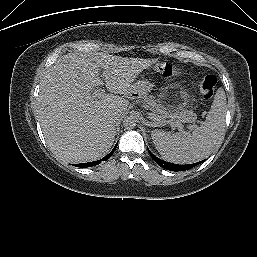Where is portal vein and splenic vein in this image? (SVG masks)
I'll use <instances>...</instances> for the list:
<instances>
[{"label": "portal vein and splenic vein", "mask_w": 257, "mask_h": 257, "mask_svg": "<svg viewBox=\"0 0 257 257\" xmlns=\"http://www.w3.org/2000/svg\"><path fill=\"white\" fill-rule=\"evenodd\" d=\"M103 93H104V90L98 89V90H96V91L93 92V94L91 95V97H93V98H99V97H101V95H102ZM89 96H90V95H89ZM89 96H87V97H89ZM149 118H150V119H153V120H156L157 117H156L154 114L150 113V114H149ZM165 122L170 123L171 126H172V128L177 127L180 132H183V127H184V126H183V124H182L180 121H177V122L165 121ZM190 128L193 129V128H195V126H191Z\"/></svg>", "instance_id": "1"}]
</instances>
